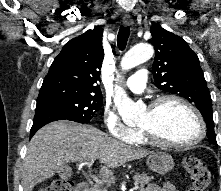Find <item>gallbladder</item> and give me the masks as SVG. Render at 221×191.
Here are the masks:
<instances>
[{
	"instance_id": "1",
	"label": "gallbladder",
	"mask_w": 221,
	"mask_h": 191,
	"mask_svg": "<svg viewBox=\"0 0 221 191\" xmlns=\"http://www.w3.org/2000/svg\"><path fill=\"white\" fill-rule=\"evenodd\" d=\"M57 172L59 173V175H60L61 177L70 176L71 173H72L71 169H70L69 167H67V166H63V167L59 168V169L57 170Z\"/></svg>"
}]
</instances>
